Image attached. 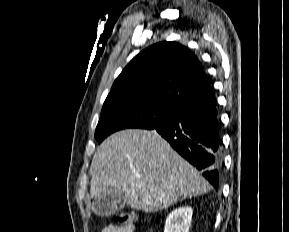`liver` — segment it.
Wrapping results in <instances>:
<instances>
[{"label":"liver","mask_w":289,"mask_h":232,"mask_svg":"<svg viewBox=\"0 0 289 232\" xmlns=\"http://www.w3.org/2000/svg\"><path fill=\"white\" fill-rule=\"evenodd\" d=\"M90 170L91 198L105 196L108 190L121 191L128 207L144 212L166 209L211 189L155 130L112 134L97 148Z\"/></svg>","instance_id":"6515ba94"}]
</instances>
